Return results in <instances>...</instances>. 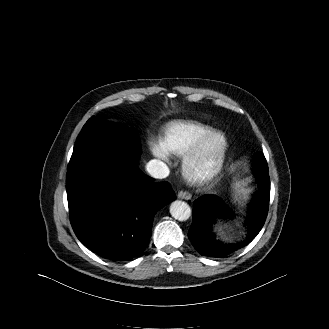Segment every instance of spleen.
<instances>
[{
    "mask_svg": "<svg viewBox=\"0 0 329 329\" xmlns=\"http://www.w3.org/2000/svg\"><path fill=\"white\" fill-rule=\"evenodd\" d=\"M249 189L245 188L244 181H236L233 183V195L235 200H242L248 198Z\"/></svg>",
    "mask_w": 329,
    "mask_h": 329,
    "instance_id": "spleen-1",
    "label": "spleen"
}]
</instances>
